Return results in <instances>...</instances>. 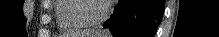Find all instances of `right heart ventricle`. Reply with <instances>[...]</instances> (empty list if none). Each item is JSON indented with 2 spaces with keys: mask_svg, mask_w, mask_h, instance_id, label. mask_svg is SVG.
<instances>
[{
  "mask_svg": "<svg viewBox=\"0 0 219 37\" xmlns=\"http://www.w3.org/2000/svg\"><path fill=\"white\" fill-rule=\"evenodd\" d=\"M78 2L79 0H57L55 2L54 12L61 31L71 32L85 27L76 13Z\"/></svg>",
  "mask_w": 219,
  "mask_h": 37,
  "instance_id": "1",
  "label": "right heart ventricle"
}]
</instances>
